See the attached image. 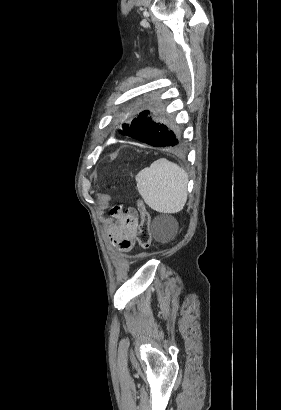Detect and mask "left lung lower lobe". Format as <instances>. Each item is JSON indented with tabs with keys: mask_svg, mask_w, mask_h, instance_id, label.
<instances>
[{
	"mask_svg": "<svg viewBox=\"0 0 281 410\" xmlns=\"http://www.w3.org/2000/svg\"><path fill=\"white\" fill-rule=\"evenodd\" d=\"M150 112L145 110L135 118L130 124H126L123 129L126 135L156 147H177L178 139L163 123H156L148 116Z\"/></svg>",
	"mask_w": 281,
	"mask_h": 410,
	"instance_id": "left-lung-lower-lobe-1",
	"label": "left lung lower lobe"
}]
</instances>
